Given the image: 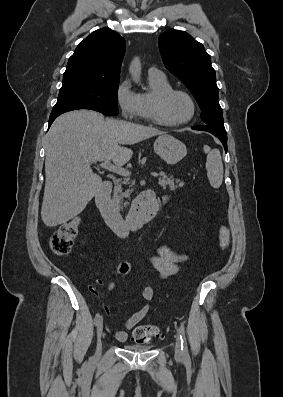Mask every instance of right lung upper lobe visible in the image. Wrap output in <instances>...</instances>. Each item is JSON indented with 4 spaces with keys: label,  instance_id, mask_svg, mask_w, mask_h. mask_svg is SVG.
Listing matches in <instances>:
<instances>
[{
    "label": "right lung upper lobe",
    "instance_id": "obj_1",
    "mask_svg": "<svg viewBox=\"0 0 283 397\" xmlns=\"http://www.w3.org/2000/svg\"><path fill=\"white\" fill-rule=\"evenodd\" d=\"M125 40L118 33L101 28L79 43L69 58L66 73L115 79L125 54Z\"/></svg>",
    "mask_w": 283,
    "mask_h": 397
}]
</instances>
